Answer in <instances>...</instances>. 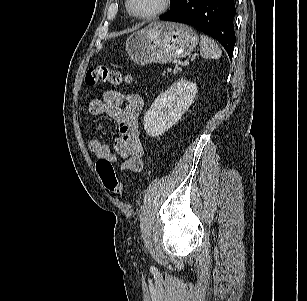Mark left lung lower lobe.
Listing matches in <instances>:
<instances>
[{
	"label": "left lung lower lobe",
	"mask_w": 307,
	"mask_h": 301,
	"mask_svg": "<svg viewBox=\"0 0 307 301\" xmlns=\"http://www.w3.org/2000/svg\"><path fill=\"white\" fill-rule=\"evenodd\" d=\"M234 0H181L174 10L160 17L192 25L215 38L232 59L235 45Z\"/></svg>",
	"instance_id": "left-lung-lower-lobe-1"
}]
</instances>
